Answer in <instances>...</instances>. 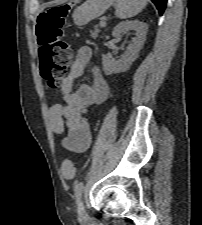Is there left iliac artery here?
I'll return each mask as SVG.
<instances>
[{
	"label": "left iliac artery",
	"instance_id": "44dca946",
	"mask_svg": "<svg viewBox=\"0 0 202 225\" xmlns=\"http://www.w3.org/2000/svg\"><path fill=\"white\" fill-rule=\"evenodd\" d=\"M82 190H83V182H79L75 186V197H76L77 202H79V200L81 198Z\"/></svg>",
	"mask_w": 202,
	"mask_h": 225
}]
</instances>
